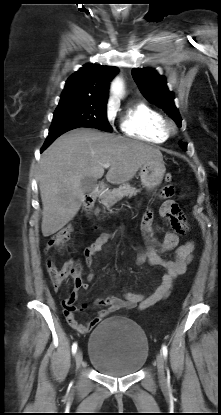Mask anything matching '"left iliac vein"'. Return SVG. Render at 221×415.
Instances as JSON below:
<instances>
[{"instance_id":"obj_1","label":"left iliac vein","mask_w":221,"mask_h":415,"mask_svg":"<svg viewBox=\"0 0 221 415\" xmlns=\"http://www.w3.org/2000/svg\"><path fill=\"white\" fill-rule=\"evenodd\" d=\"M156 362H157V371H158L159 379L161 381H164L165 380V370H164V358H163L162 353H159L157 355Z\"/></svg>"}]
</instances>
